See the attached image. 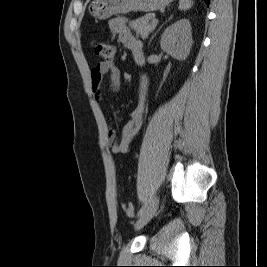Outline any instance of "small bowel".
Instances as JSON below:
<instances>
[{"label":"small bowel","instance_id":"c3829d8e","mask_svg":"<svg viewBox=\"0 0 267 267\" xmlns=\"http://www.w3.org/2000/svg\"><path fill=\"white\" fill-rule=\"evenodd\" d=\"M109 27L113 33L118 34L122 44L130 50L134 61L138 65L144 63V55L142 51L141 42L134 37L127 25V20L124 17H118L110 21ZM109 75L111 88L114 91H117L120 87V71L116 65L112 63L101 62L98 63L91 70V82L93 96L97 104L102 108L103 106V97L100 90V84L103 81L104 77ZM147 96V80L146 78L142 79L140 87V101L137 108L133 111L131 119L124 125L121 137L119 141H114L115 139V130L110 128L108 130L107 138L110 143L111 151L115 154L126 153L129 151L131 142L135 134L140 128V118L141 112L143 110Z\"/></svg>","mask_w":267,"mask_h":267}]
</instances>
